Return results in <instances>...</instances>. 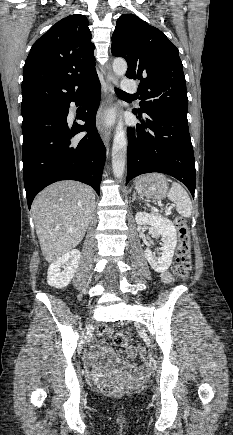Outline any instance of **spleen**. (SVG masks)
<instances>
[{
    "label": "spleen",
    "instance_id": "3e777b00",
    "mask_svg": "<svg viewBox=\"0 0 233 435\" xmlns=\"http://www.w3.org/2000/svg\"><path fill=\"white\" fill-rule=\"evenodd\" d=\"M168 198L176 204L177 212L183 217H190L192 214V202L185 189L176 182L168 192Z\"/></svg>",
    "mask_w": 233,
    "mask_h": 435
}]
</instances>
